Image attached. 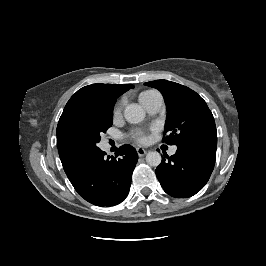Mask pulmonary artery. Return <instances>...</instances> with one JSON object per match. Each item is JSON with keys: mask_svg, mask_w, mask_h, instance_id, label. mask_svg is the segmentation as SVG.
<instances>
[{"mask_svg": "<svg viewBox=\"0 0 266 266\" xmlns=\"http://www.w3.org/2000/svg\"><path fill=\"white\" fill-rule=\"evenodd\" d=\"M144 108L149 114H156L158 113L163 105V98L159 93H156L149 97L143 104ZM177 150L176 146H172L169 150V154H175Z\"/></svg>", "mask_w": 266, "mask_h": 266, "instance_id": "e3ab8cb5", "label": "pulmonary artery"}]
</instances>
